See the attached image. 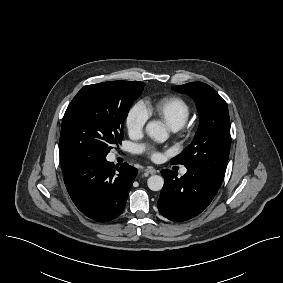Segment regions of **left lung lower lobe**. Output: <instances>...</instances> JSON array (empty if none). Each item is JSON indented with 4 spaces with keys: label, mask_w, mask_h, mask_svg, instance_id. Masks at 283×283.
I'll return each instance as SVG.
<instances>
[{
    "label": "left lung lower lobe",
    "mask_w": 283,
    "mask_h": 283,
    "mask_svg": "<svg viewBox=\"0 0 283 283\" xmlns=\"http://www.w3.org/2000/svg\"><path fill=\"white\" fill-rule=\"evenodd\" d=\"M164 186L157 202L160 213L172 221H186L200 214L218 192V183L194 169L178 178L169 169L161 171Z\"/></svg>",
    "instance_id": "0a47b994"
}]
</instances>
